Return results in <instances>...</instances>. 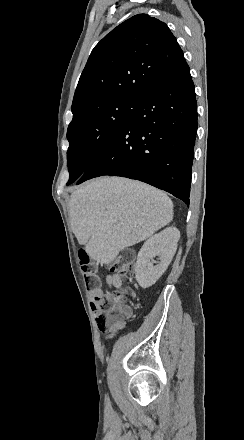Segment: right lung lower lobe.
I'll list each match as a JSON object with an SVG mask.
<instances>
[{"instance_id":"obj_1","label":"right lung lower lobe","mask_w":244,"mask_h":440,"mask_svg":"<svg viewBox=\"0 0 244 440\" xmlns=\"http://www.w3.org/2000/svg\"><path fill=\"white\" fill-rule=\"evenodd\" d=\"M197 130L194 84L185 62L159 78L77 184L111 175L165 190L189 205Z\"/></svg>"}]
</instances>
